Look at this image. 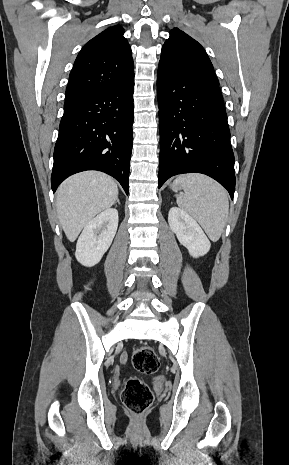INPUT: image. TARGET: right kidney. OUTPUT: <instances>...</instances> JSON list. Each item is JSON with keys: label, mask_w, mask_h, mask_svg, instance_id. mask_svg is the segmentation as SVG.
<instances>
[{"label": "right kidney", "mask_w": 289, "mask_h": 465, "mask_svg": "<svg viewBox=\"0 0 289 465\" xmlns=\"http://www.w3.org/2000/svg\"><path fill=\"white\" fill-rule=\"evenodd\" d=\"M118 227V211L109 208L93 218L82 231L75 257L84 266L96 265L110 247Z\"/></svg>", "instance_id": "ca27d5eb"}]
</instances>
